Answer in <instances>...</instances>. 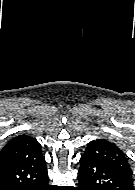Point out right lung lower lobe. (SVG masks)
<instances>
[{
    "label": "right lung lower lobe",
    "mask_w": 135,
    "mask_h": 190,
    "mask_svg": "<svg viewBox=\"0 0 135 190\" xmlns=\"http://www.w3.org/2000/svg\"><path fill=\"white\" fill-rule=\"evenodd\" d=\"M43 155L0 163V190H53Z\"/></svg>",
    "instance_id": "98d812e1"
}]
</instances>
